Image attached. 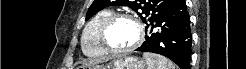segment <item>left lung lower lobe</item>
I'll use <instances>...</instances> for the list:
<instances>
[{"instance_id": "0a47b994", "label": "left lung lower lobe", "mask_w": 246, "mask_h": 69, "mask_svg": "<svg viewBox=\"0 0 246 69\" xmlns=\"http://www.w3.org/2000/svg\"><path fill=\"white\" fill-rule=\"evenodd\" d=\"M158 28L157 31H153ZM192 35L190 19L184 0H175L147 28L146 39L136 51L161 54L181 69H190Z\"/></svg>"}]
</instances>
